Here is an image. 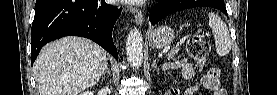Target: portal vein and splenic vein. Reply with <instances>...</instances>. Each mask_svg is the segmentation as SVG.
Instances as JSON below:
<instances>
[{"mask_svg":"<svg viewBox=\"0 0 277 95\" xmlns=\"http://www.w3.org/2000/svg\"><path fill=\"white\" fill-rule=\"evenodd\" d=\"M169 47H166L165 49H164V52H168L169 51Z\"/></svg>","mask_w":277,"mask_h":95,"instance_id":"portal-vein-and-splenic-vein-1","label":"portal vein and splenic vein"}]
</instances>
